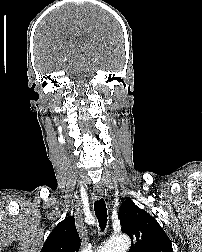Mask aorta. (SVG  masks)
<instances>
[{
    "label": "aorta",
    "mask_w": 202,
    "mask_h": 252,
    "mask_svg": "<svg viewBox=\"0 0 202 252\" xmlns=\"http://www.w3.org/2000/svg\"><path fill=\"white\" fill-rule=\"evenodd\" d=\"M131 241L128 236L122 235L109 240L98 252H126L130 248Z\"/></svg>",
    "instance_id": "obj_1"
}]
</instances>
